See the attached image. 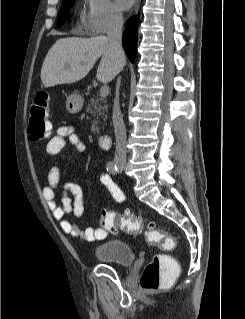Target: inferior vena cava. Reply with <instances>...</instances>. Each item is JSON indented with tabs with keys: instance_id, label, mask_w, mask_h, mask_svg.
Masks as SVG:
<instances>
[{
	"instance_id": "inferior-vena-cava-1",
	"label": "inferior vena cava",
	"mask_w": 245,
	"mask_h": 319,
	"mask_svg": "<svg viewBox=\"0 0 245 319\" xmlns=\"http://www.w3.org/2000/svg\"><path fill=\"white\" fill-rule=\"evenodd\" d=\"M123 23L124 20L122 14L114 12L111 15L110 25L107 32V38L110 41V48L118 60H122L124 58V51L122 49ZM119 86L120 78L117 79L116 84V97L113 105L112 120L116 140L115 161L124 162L126 161V128L119 106Z\"/></svg>"
}]
</instances>
